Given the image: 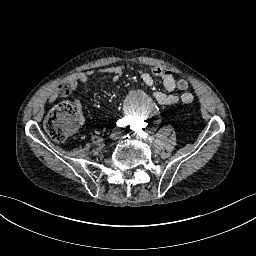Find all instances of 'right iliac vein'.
<instances>
[{
  "label": "right iliac vein",
  "instance_id": "63e3f726",
  "mask_svg": "<svg viewBox=\"0 0 256 256\" xmlns=\"http://www.w3.org/2000/svg\"><path fill=\"white\" fill-rule=\"evenodd\" d=\"M118 138V132L114 131L109 135V139L116 140Z\"/></svg>",
  "mask_w": 256,
  "mask_h": 256
}]
</instances>
